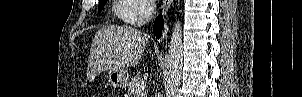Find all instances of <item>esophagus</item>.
I'll use <instances>...</instances> for the list:
<instances>
[{
	"label": "esophagus",
	"instance_id": "34e87169",
	"mask_svg": "<svg viewBox=\"0 0 302 97\" xmlns=\"http://www.w3.org/2000/svg\"><path fill=\"white\" fill-rule=\"evenodd\" d=\"M173 0H164L161 6L162 12L166 13L171 7Z\"/></svg>",
	"mask_w": 302,
	"mask_h": 97
}]
</instances>
